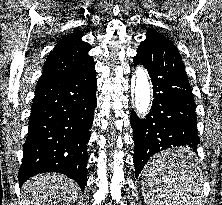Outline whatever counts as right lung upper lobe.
<instances>
[{
  "label": "right lung upper lobe",
  "mask_w": 222,
  "mask_h": 205,
  "mask_svg": "<svg viewBox=\"0 0 222 205\" xmlns=\"http://www.w3.org/2000/svg\"><path fill=\"white\" fill-rule=\"evenodd\" d=\"M83 34V31L71 34L56 44L39 81L82 73L95 65L93 57L87 54L91 45L81 40Z\"/></svg>",
  "instance_id": "cb5924a9"
}]
</instances>
